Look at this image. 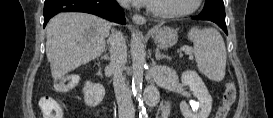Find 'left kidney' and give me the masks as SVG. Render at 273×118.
I'll use <instances>...</instances> for the list:
<instances>
[{
	"instance_id": "left-kidney-1",
	"label": "left kidney",
	"mask_w": 273,
	"mask_h": 118,
	"mask_svg": "<svg viewBox=\"0 0 273 118\" xmlns=\"http://www.w3.org/2000/svg\"><path fill=\"white\" fill-rule=\"evenodd\" d=\"M181 81L184 86L192 89L193 95L199 101L198 107H200V110L198 107L190 110L189 105L182 101L180 110L184 118H208L212 109V97L200 76L195 71L188 70L182 74Z\"/></svg>"
}]
</instances>
